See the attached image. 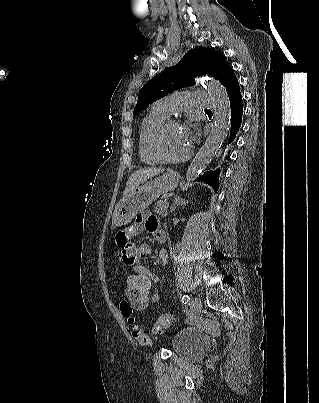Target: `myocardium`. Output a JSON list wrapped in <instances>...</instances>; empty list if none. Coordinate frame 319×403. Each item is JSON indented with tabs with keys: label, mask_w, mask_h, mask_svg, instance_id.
Segmentation results:
<instances>
[{
	"label": "myocardium",
	"mask_w": 319,
	"mask_h": 403,
	"mask_svg": "<svg viewBox=\"0 0 319 403\" xmlns=\"http://www.w3.org/2000/svg\"><path fill=\"white\" fill-rule=\"evenodd\" d=\"M174 125H181V121L177 118H167L164 122H162L158 128L155 130L153 137H152V142H151V146H152V150L154 152V154L162 161L165 163H182L187 161L193 153L192 148L190 147V149L188 150V152L186 154H184L181 157H171L168 156L164 150H163V145H162V139L163 136L165 134V132Z\"/></svg>",
	"instance_id": "myocardium-1"
}]
</instances>
